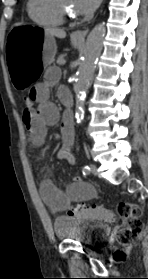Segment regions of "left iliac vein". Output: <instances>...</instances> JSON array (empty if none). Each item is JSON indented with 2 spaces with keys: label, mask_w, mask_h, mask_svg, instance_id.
I'll list each match as a JSON object with an SVG mask.
<instances>
[{
  "label": "left iliac vein",
  "mask_w": 148,
  "mask_h": 279,
  "mask_svg": "<svg viewBox=\"0 0 148 279\" xmlns=\"http://www.w3.org/2000/svg\"><path fill=\"white\" fill-rule=\"evenodd\" d=\"M90 169H91V173L93 175H97L98 174L97 166L95 164H91L90 165Z\"/></svg>",
  "instance_id": "4c4485c4"
}]
</instances>
